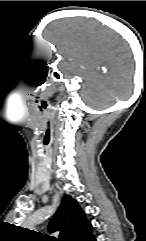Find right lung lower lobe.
<instances>
[{"label":"right lung lower lobe","instance_id":"1","mask_svg":"<svg viewBox=\"0 0 146 241\" xmlns=\"http://www.w3.org/2000/svg\"><path fill=\"white\" fill-rule=\"evenodd\" d=\"M91 241H96V238H95V237H93V238L91 239Z\"/></svg>","mask_w":146,"mask_h":241}]
</instances>
